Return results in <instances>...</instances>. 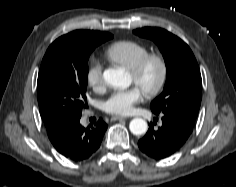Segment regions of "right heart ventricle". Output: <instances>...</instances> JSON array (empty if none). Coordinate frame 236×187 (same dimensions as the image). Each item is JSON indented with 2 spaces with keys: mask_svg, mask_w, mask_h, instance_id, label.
I'll return each mask as SVG.
<instances>
[{
  "mask_svg": "<svg viewBox=\"0 0 236 187\" xmlns=\"http://www.w3.org/2000/svg\"><path fill=\"white\" fill-rule=\"evenodd\" d=\"M148 53V48L139 42L120 40L106 49L105 56L110 62L129 70Z\"/></svg>",
  "mask_w": 236,
  "mask_h": 187,
  "instance_id": "obj_1",
  "label": "right heart ventricle"
}]
</instances>
